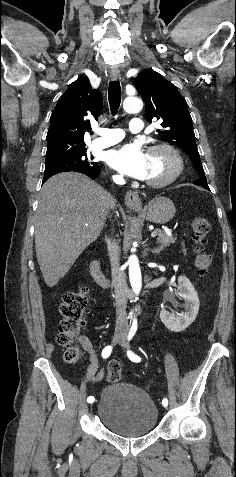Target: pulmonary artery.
Wrapping results in <instances>:
<instances>
[{
  "label": "pulmonary artery",
  "instance_id": "obj_1",
  "mask_svg": "<svg viewBox=\"0 0 236 477\" xmlns=\"http://www.w3.org/2000/svg\"><path fill=\"white\" fill-rule=\"evenodd\" d=\"M129 129L133 133L144 130L143 121L140 118H132L129 122ZM100 137L94 139L92 146L97 149L106 148L120 142L125 134L121 129L100 128L98 130Z\"/></svg>",
  "mask_w": 236,
  "mask_h": 477
}]
</instances>
